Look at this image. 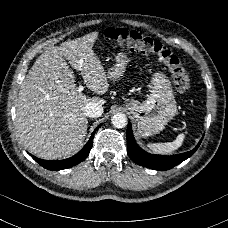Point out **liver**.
<instances>
[{
    "label": "liver",
    "instance_id": "liver-1",
    "mask_svg": "<svg viewBox=\"0 0 228 228\" xmlns=\"http://www.w3.org/2000/svg\"><path fill=\"white\" fill-rule=\"evenodd\" d=\"M98 32H92L60 48L41 54L22 82L16 107V124L23 146L43 159H61L76 153L85 140L89 100L76 86L67 61L80 72L86 87L97 95L108 92L110 82L101 59L94 51Z\"/></svg>",
    "mask_w": 228,
    "mask_h": 228
}]
</instances>
